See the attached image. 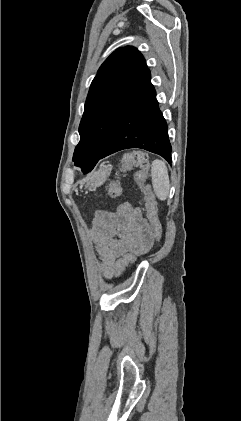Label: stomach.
Returning <instances> with one entry per match:
<instances>
[{"label":"stomach","instance_id":"obj_1","mask_svg":"<svg viewBox=\"0 0 241 421\" xmlns=\"http://www.w3.org/2000/svg\"><path fill=\"white\" fill-rule=\"evenodd\" d=\"M110 172L111 168H109L108 166L101 167L99 170L91 174L86 184V187L88 189H93L102 185L110 175Z\"/></svg>","mask_w":241,"mask_h":421}]
</instances>
